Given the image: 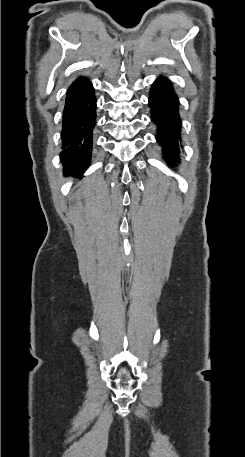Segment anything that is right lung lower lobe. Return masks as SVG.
<instances>
[{
    "label": "right lung lower lobe",
    "instance_id": "98d812e1",
    "mask_svg": "<svg viewBox=\"0 0 245 457\" xmlns=\"http://www.w3.org/2000/svg\"><path fill=\"white\" fill-rule=\"evenodd\" d=\"M96 101L92 84L86 77L77 78L68 88L63 110L60 153L65 174L82 176L90 166Z\"/></svg>",
    "mask_w": 245,
    "mask_h": 457
}]
</instances>
